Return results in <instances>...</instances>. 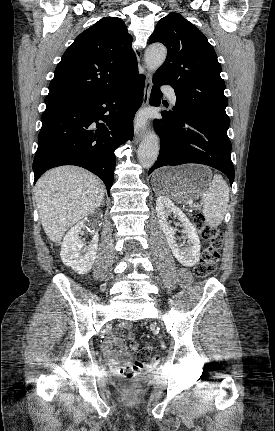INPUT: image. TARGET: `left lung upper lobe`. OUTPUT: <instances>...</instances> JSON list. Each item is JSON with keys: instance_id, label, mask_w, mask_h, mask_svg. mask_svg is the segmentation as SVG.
<instances>
[{"instance_id": "obj_1", "label": "left lung upper lobe", "mask_w": 275, "mask_h": 431, "mask_svg": "<svg viewBox=\"0 0 275 431\" xmlns=\"http://www.w3.org/2000/svg\"><path fill=\"white\" fill-rule=\"evenodd\" d=\"M153 42L167 48L166 60L153 79L175 89L174 111L229 125L221 65L206 36L182 15L170 13L156 25L149 39V43Z\"/></svg>"}]
</instances>
